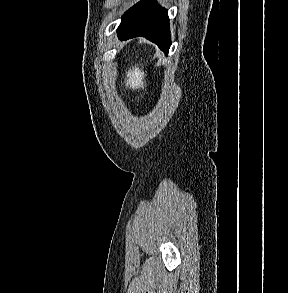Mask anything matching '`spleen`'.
Instances as JSON below:
<instances>
[{"mask_svg":"<svg viewBox=\"0 0 288 293\" xmlns=\"http://www.w3.org/2000/svg\"><path fill=\"white\" fill-rule=\"evenodd\" d=\"M126 86L132 89L144 88V72L138 66L132 67L126 73Z\"/></svg>","mask_w":288,"mask_h":293,"instance_id":"1","label":"spleen"}]
</instances>
